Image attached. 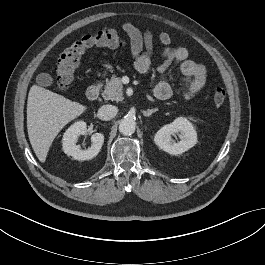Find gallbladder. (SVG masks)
Listing matches in <instances>:
<instances>
[{
	"instance_id": "1",
	"label": "gallbladder",
	"mask_w": 265,
	"mask_h": 265,
	"mask_svg": "<svg viewBox=\"0 0 265 265\" xmlns=\"http://www.w3.org/2000/svg\"><path fill=\"white\" fill-rule=\"evenodd\" d=\"M36 82L43 87L51 86L54 82L53 77L48 73H41L36 77Z\"/></svg>"
}]
</instances>
